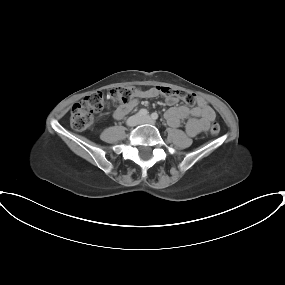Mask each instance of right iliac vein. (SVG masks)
Wrapping results in <instances>:
<instances>
[{
    "label": "right iliac vein",
    "instance_id": "right-iliac-vein-1",
    "mask_svg": "<svg viewBox=\"0 0 285 285\" xmlns=\"http://www.w3.org/2000/svg\"><path fill=\"white\" fill-rule=\"evenodd\" d=\"M140 116L139 115H134L131 116L128 120H127V125L130 127H135L138 124H140Z\"/></svg>",
    "mask_w": 285,
    "mask_h": 285
}]
</instances>
